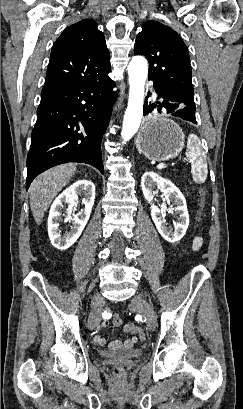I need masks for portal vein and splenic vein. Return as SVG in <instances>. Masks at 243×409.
<instances>
[{
	"mask_svg": "<svg viewBox=\"0 0 243 409\" xmlns=\"http://www.w3.org/2000/svg\"><path fill=\"white\" fill-rule=\"evenodd\" d=\"M164 167V164L163 163H160L159 165H157V168L158 169H162Z\"/></svg>",
	"mask_w": 243,
	"mask_h": 409,
	"instance_id": "1",
	"label": "portal vein and splenic vein"
}]
</instances>
